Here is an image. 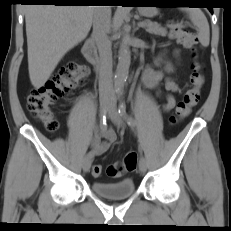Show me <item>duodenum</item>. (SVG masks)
Segmentation results:
<instances>
[{
	"mask_svg": "<svg viewBox=\"0 0 231 231\" xmlns=\"http://www.w3.org/2000/svg\"><path fill=\"white\" fill-rule=\"evenodd\" d=\"M83 54L88 62L95 68L99 67V57L93 41H87L83 46Z\"/></svg>",
	"mask_w": 231,
	"mask_h": 231,
	"instance_id": "obj_1",
	"label": "duodenum"
}]
</instances>
